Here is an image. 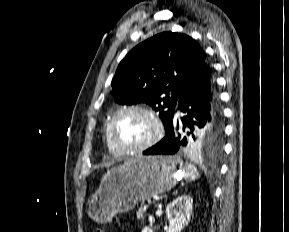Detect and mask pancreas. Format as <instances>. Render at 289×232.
Returning <instances> with one entry per match:
<instances>
[{
  "label": "pancreas",
  "mask_w": 289,
  "mask_h": 232,
  "mask_svg": "<svg viewBox=\"0 0 289 232\" xmlns=\"http://www.w3.org/2000/svg\"><path fill=\"white\" fill-rule=\"evenodd\" d=\"M146 209H147V206H141V207L139 208V210H138V212H137V218H138V219H143V215H144Z\"/></svg>",
  "instance_id": "1"
}]
</instances>
